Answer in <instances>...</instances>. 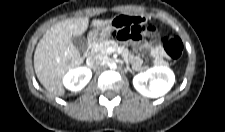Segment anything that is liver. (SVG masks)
Wrapping results in <instances>:
<instances>
[{
	"label": "liver",
	"instance_id": "6515ba94",
	"mask_svg": "<svg viewBox=\"0 0 225 132\" xmlns=\"http://www.w3.org/2000/svg\"><path fill=\"white\" fill-rule=\"evenodd\" d=\"M112 20H93L92 26L108 25ZM89 18H71L48 29L37 44L34 69L39 82L54 96H63V76L83 63V57L72 44L73 36H81L88 28Z\"/></svg>",
	"mask_w": 225,
	"mask_h": 132
}]
</instances>
